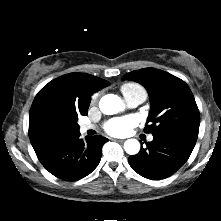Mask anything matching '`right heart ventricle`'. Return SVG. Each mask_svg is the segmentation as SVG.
<instances>
[{"label": "right heart ventricle", "instance_id": "right-heart-ventricle-1", "mask_svg": "<svg viewBox=\"0 0 221 221\" xmlns=\"http://www.w3.org/2000/svg\"><path fill=\"white\" fill-rule=\"evenodd\" d=\"M121 92L124 96L131 95L133 93L142 92L145 93L144 88L137 83H125L121 86Z\"/></svg>", "mask_w": 221, "mask_h": 221}]
</instances>
